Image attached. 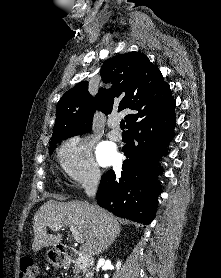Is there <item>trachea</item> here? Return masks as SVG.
<instances>
[{
    "label": "trachea",
    "instance_id": "1",
    "mask_svg": "<svg viewBox=\"0 0 221 278\" xmlns=\"http://www.w3.org/2000/svg\"><path fill=\"white\" fill-rule=\"evenodd\" d=\"M120 128H121L122 130L125 129V122H124L123 120L120 122Z\"/></svg>",
    "mask_w": 221,
    "mask_h": 278
}]
</instances>
